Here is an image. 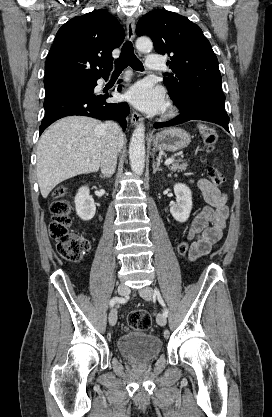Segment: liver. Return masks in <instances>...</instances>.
I'll list each match as a JSON object with an SVG mask.
<instances>
[{
  "instance_id": "6515ba94",
  "label": "liver",
  "mask_w": 272,
  "mask_h": 417,
  "mask_svg": "<svg viewBox=\"0 0 272 417\" xmlns=\"http://www.w3.org/2000/svg\"><path fill=\"white\" fill-rule=\"evenodd\" d=\"M102 125L90 117L70 116L60 119L42 134L37 146L36 172L43 198L67 179L98 171L103 144ZM124 141L122 135L120 148Z\"/></svg>"
}]
</instances>
